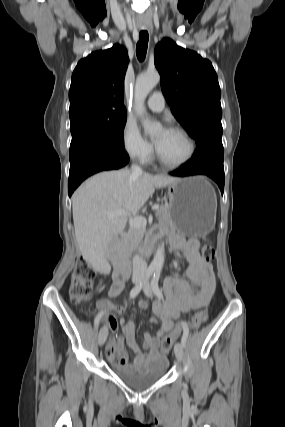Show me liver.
Masks as SVG:
<instances>
[{"mask_svg":"<svg viewBox=\"0 0 285 427\" xmlns=\"http://www.w3.org/2000/svg\"><path fill=\"white\" fill-rule=\"evenodd\" d=\"M176 180L125 169L101 172L86 180L72 196L75 236L83 258L95 269H102L107 264L108 244L124 230L127 217L142 208L155 188ZM115 210H124L125 214L107 216Z\"/></svg>","mask_w":285,"mask_h":427,"instance_id":"obj_1","label":"liver"}]
</instances>
